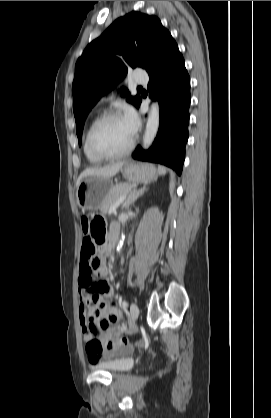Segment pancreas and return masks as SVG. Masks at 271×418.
<instances>
[{
    "mask_svg": "<svg viewBox=\"0 0 271 418\" xmlns=\"http://www.w3.org/2000/svg\"><path fill=\"white\" fill-rule=\"evenodd\" d=\"M131 188L132 185L130 183H119L112 187L101 207V212L103 214L108 213L112 205L115 204L121 196L127 194Z\"/></svg>",
    "mask_w": 271,
    "mask_h": 418,
    "instance_id": "1",
    "label": "pancreas"
}]
</instances>
